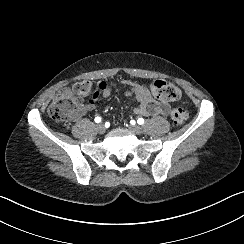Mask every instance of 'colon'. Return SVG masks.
Wrapping results in <instances>:
<instances>
[{
	"label": "colon",
	"instance_id": "5ec220e1",
	"mask_svg": "<svg viewBox=\"0 0 244 244\" xmlns=\"http://www.w3.org/2000/svg\"><path fill=\"white\" fill-rule=\"evenodd\" d=\"M147 88L156 98L179 101L183 97L181 89L168 81L154 80L147 85ZM97 96L96 84L88 80L65 86L48 108V115L57 122L65 121L85 102H90ZM187 116V111L180 107L173 108L170 113L172 121L176 124H183Z\"/></svg>",
	"mask_w": 244,
	"mask_h": 244
}]
</instances>
